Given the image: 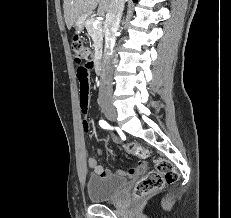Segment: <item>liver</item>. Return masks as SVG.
<instances>
[{"mask_svg": "<svg viewBox=\"0 0 231 218\" xmlns=\"http://www.w3.org/2000/svg\"><path fill=\"white\" fill-rule=\"evenodd\" d=\"M111 1L112 0H64V18L68 30L71 29L79 17L89 16L98 4V15L104 16L107 14L111 7Z\"/></svg>", "mask_w": 231, "mask_h": 218, "instance_id": "obj_1", "label": "liver"}]
</instances>
